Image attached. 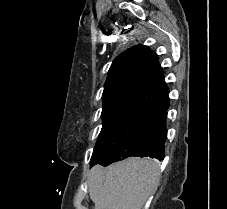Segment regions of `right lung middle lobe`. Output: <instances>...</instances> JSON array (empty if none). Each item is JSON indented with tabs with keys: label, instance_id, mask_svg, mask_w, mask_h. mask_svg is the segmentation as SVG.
Masks as SVG:
<instances>
[{
	"label": "right lung middle lobe",
	"instance_id": "obj_1",
	"mask_svg": "<svg viewBox=\"0 0 227 209\" xmlns=\"http://www.w3.org/2000/svg\"><path fill=\"white\" fill-rule=\"evenodd\" d=\"M152 107L131 99L113 101L102 112L103 126L93 150L90 166L102 164L117 148L133 137L148 121Z\"/></svg>",
	"mask_w": 227,
	"mask_h": 209
}]
</instances>
